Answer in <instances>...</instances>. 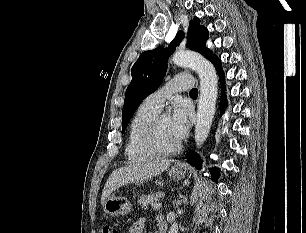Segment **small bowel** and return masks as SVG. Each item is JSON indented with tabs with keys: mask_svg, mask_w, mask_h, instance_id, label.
Instances as JSON below:
<instances>
[{
	"mask_svg": "<svg viewBox=\"0 0 306 233\" xmlns=\"http://www.w3.org/2000/svg\"><path fill=\"white\" fill-rule=\"evenodd\" d=\"M158 225H159V228H160L161 225H166V223L162 218H160L158 220ZM144 226H145V220L144 219L137 220L130 227L129 233H143Z\"/></svg>",
	"mask_w": 306,
	"mask_h": 233,
	"instance_id": "obj_1",
	"label": "small bowel"
}]
</instances>
